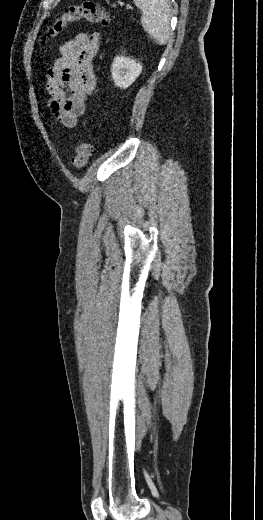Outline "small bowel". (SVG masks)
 Returning <instances> with one entry per match:
<instances>
[{"label": "small bowel", "instance_id": "c3829d8e", "mask_svg": "<svg viewBox=\"0 0 263 520\" xmlns=\"http://www.w3.org/2000/svg\"><path fill=\"white\" fill-rule=\"evenodd\" d=\"M98 33H81L60 48L46 74V106L50 115L68 128L77 124L96 86L92 61L99 50Z\"/></svg>", "mask_w": 263, "mask_h": 520}]
</instances>
